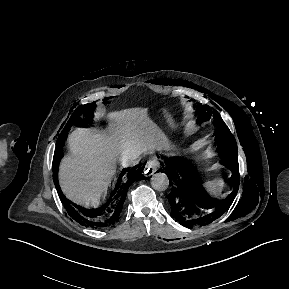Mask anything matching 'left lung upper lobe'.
Instances as JSON below:
<instances>
[{
	"label": "left lung upper lobe",
	"mask_w": 289,
	"mask_h": 289,
	"mask_svg": "<svg viewBox=\"0 0 289 289\" xmlns=\"http://www.w3.org/2000/svg\"><path fill=\"white\" fill-rule=\"evenodd\" d=\"M194 108L198 115L197 122L209 121L211 118L214 119L216 129L213 135L215 136V142L218 144L217 150L221 154L222 163L229 166L238 165V153L235 140L220 115L206 105H195Z\"/></svg>",
	"instance_id": "obj_1"
}]
</instances>
